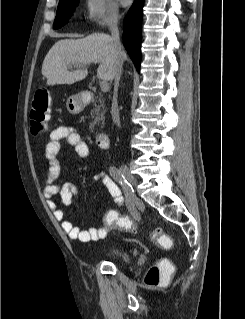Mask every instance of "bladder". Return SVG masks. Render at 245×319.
I'll return each mask as SVG.
<instances>
[{
	"label": "bladder",
	"instance_id": "1",
	"mask_svg": "<svg viewBox=\"0 0 245 319\" xmlns=\"http://www.w3.org/2000/svg\"><path fill=\"white\" fill-rule=\"evenodd\" d=\"M103 257L105 258H114L124 262L130 260L129 252L121 245H111L104 252Z\"/></svg>",
	"mask_w": 245,
	"mask_h": 319
}]
</instances>
